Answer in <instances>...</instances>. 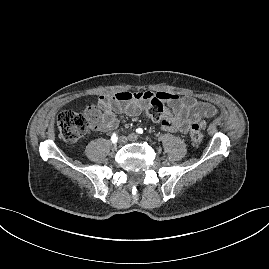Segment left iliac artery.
I'll list each match as a JSON object with an SVG mask.
<instances>
[{"label":"left iliac artery","instance_id":"44dca946","mask_svg":"<svg viewBox=\"0 0 269 269\" xmlns=\"http://www.w3.org/2000/svg\"><path fill=\"white\" fill-rule=\"evenodd\" d=\"M136 132H137L138 134H143L144 131H143L142 128H137V129H136Z\"/></svg>","mask_w":269,"mask_h":269}]
</instances>
